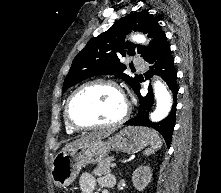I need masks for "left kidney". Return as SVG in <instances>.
I'll return each instance as SVG.
<instances>
[{
	"label": "left kidney",
	"instance_id": "left-kidney-1",
	"mask_svg": "<svg viewBox=\"0 0 221 193\" xmlns=\"http://www.w3.org/2000/svg\"><path fill=\"white\" fill-rule=\"evenodd\" d=\"M152 170L149 166H139L132 176V182L138 191H143L151 182Z\"/></svg>",
	"mask_w": 221,
	"mask_h": 193
}]
</instances>
